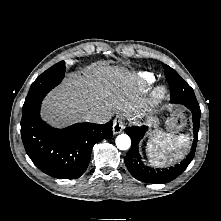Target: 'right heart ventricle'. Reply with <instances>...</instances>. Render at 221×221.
<instances>
[{
    "label": "right heart ventricle",
    "mask_w": 221,
    "mask_h": 221,
    "mask_svg": "<svg viewBox=\"0 0 221 221\" xmlns=\"http://www.w3.org/2000/svg\"><path fill=\"white\" fill-rule=\"evenodd\" d=\"M142 80L147 84H152L154 82V76L149 73H143L141 74Z\"/></svg>",
    "instance_id": "e07e8e85"
}]
</instances>
